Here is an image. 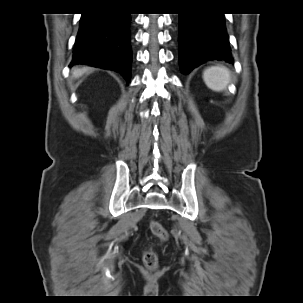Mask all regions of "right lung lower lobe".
<instances>
[{"mask_svg": "<svg viewBox=\"0 0 303 303\" xmlns=\"http://www.w3.org/2000/svg\"><path fill=\"white\" fill-rule=\"evenodd\" d=\"M131 16L127 13H84L74 47L75 64H87L119 72L130 81L132 62Z\"/></svg>", "mask_w": 303, "mask_h": 303, "instance_id": "1", "label": "right lung lower lobe"}]
</instances>
